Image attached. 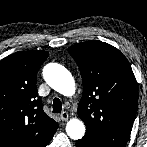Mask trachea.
<instances>
[{
  "instance_id": "3493384b",
  "label": "trachea",
  "mask_w": 147,
  "mask_h": 147,
  "mask_svg": "<svg viewBox=\"0 0 147 147\" xmlns=\"http://www.w3.org/2000/svg\"><path fill=\"white\" fill-rule=\"evenodd\" d=\"M62 110V103L58 98H54L53 100V112L60 113Z\"/></svg>"
}]
</instances>
